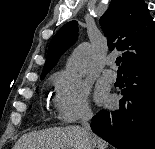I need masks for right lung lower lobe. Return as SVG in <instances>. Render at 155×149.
Returning a JSON list of instances; mask_svg holds the SVG:
<instances>
[{
    "mask_svg": "<svg viewBox=\"0 0 155 149\" xmlns=\"http://www.w3.org/2000/svg\"><path fill=\"white\" fill-rule=\"evenodd\" d=\"M120 108L92 118L94 133L118 149H155V61L123 71Z\"/></svg>",
    "mask_w": 155,
    "mask_h": 149,
    "instance_id": "obj_1",
    "label": "right lung lower lobe"
}]
</instances>
